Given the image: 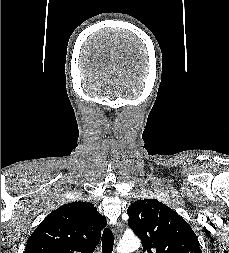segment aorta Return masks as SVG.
Returning <instances> with one entry per match:
<instances>
[{
	"mask_svg": "<svg viewBox=\"0 0 229 253\" xmlns=\"http://www.w3.org/2000/svg\"><path fill=\"white\" fill-rule=\"evenodd\" d=\"M140 247V241L136 237L122 239L117 246V253H131Z\"/></svg>",
	"mask_w": 229,
	"mask_h": 253,
	"instance_id": "1",
	"label": "aorta"
}]
</instances>
